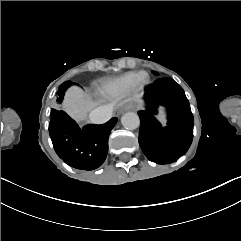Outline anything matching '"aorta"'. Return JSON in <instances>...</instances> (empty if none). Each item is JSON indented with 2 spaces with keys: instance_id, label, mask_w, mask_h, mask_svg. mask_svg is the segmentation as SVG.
Wrapping results in <instances>:
<instances>
[{
  "instance_id": "762f6f07",
  "label": "aorta",
  "mask_w": 241,
  "mask_h": 241,
  "mask_svg": "<svg viewBox=\"0 0 241 241\" xmlns=\"http://www.w3.org/2000/svg\"><path fill=\"white\" fill-rule=\"evenodd\" d=\"M121 124L127 130H134L140 126V118L136 113L127 112L121 117Z\"/></svg>"
}]
</instances>
